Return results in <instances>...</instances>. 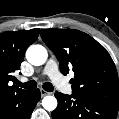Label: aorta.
Masks as SVG:
<instances>
[{
  "mask_svg": "<svg viewBox=\"0 0 119 119\" xmlns=\"http://www.w3.org/2000/svg\"><path fill=\"white\" fill-rule=\"evenodd\" d=\"M47 57V50L42 45H31L26 51L28 62L35 66L43 65ZM42 106L48 111H53L57 107V100L54 96H45L42 100Z\"/></svg>",
  "mask_w": 119,
  "mask_h": 119,
  "instance_id": "762f6f07",
  "label": "aorta"
}]
</instances>
